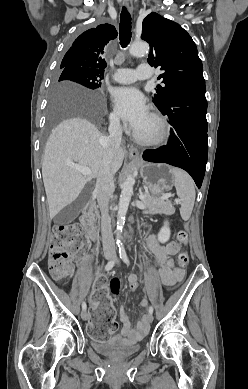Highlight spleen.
<instances>
[{"label": "spleen", "instance_id": "1", "mask_svg": "<svg viewBox=\"0 0 248 389\" xmlns=\"http://www.w3.org/2000/svg\"><path fill=\"white\" fill-rule=\"evenodd\" d=\"M171 172L174 177L177 195L181 200L180 215L183 220H188L191 216L196 196L194 182L182 169L173 167Z\"/></svg>", "mask_w": 248, "mask_h": 389}]
</instances>
